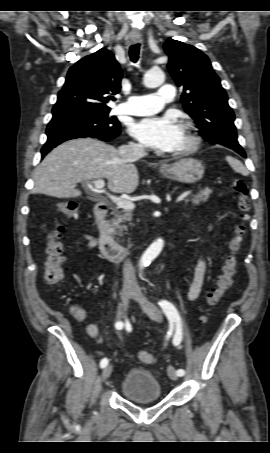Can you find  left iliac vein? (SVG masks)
I'll return each instance as SVG.
<instances>
[{
    "mask_svg": "<svg viewBox=\"0 0 270 453\" xmlns=\"http://www.w3.org/2000/svg\"><path fill=\"white\" fill-rule=\"evenodd\" d=\"M131 296L141 305L145 313L153 320L161 322L163 319L161 311L142 294L135 282L132 284ZM167 373L170 379L178 380V375L173 366L169 365Z\"/></svg>",
    "mask_w": 270,
    "mask_h": 453,
    "instance_id": "left-iliac-vein-1",
    "label": "left iliac vein"
}]
</instances>
